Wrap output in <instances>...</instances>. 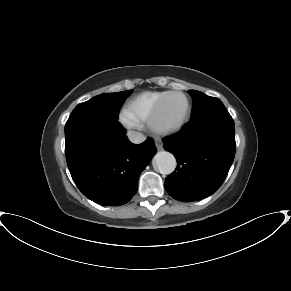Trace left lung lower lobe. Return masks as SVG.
I'll use <instances>...</instances> for the list:
<instances>
[{
  "instance_id": "0a47b994",
  "label": "left lung lower lobe",
  "mask_w": 291,
  "mask_h": 291,
  "mask_svg": "<svg viewBox=\"0 0 291 291\" xmlns=\"http://www.w3.org/2000/svg\"><path fill=\"white\" fill-rule=\"evenodd\" d=\"M163 143L178 163L165 179L166 191L179 201L201 200L219 189L232 165L236 148L234 121L221 106L191 119Z\"/></svg>"
}]
</instances>
